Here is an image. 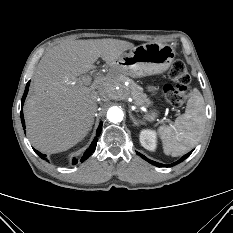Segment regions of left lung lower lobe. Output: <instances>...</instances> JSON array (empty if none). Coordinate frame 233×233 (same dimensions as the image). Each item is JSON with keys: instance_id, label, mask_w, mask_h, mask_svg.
I'll use <instances>...</instances> for the list:
<instances>
[{"instance_id": "left-lung-lower-lobe-1", "label": "left lung lower lobe", "mask_w": 233, "mask_h": 233, "mask_svg": "<svg viewBox=\"0 0 233 233\" xmlns=\"http://www.w3.org/2000/svg\"><path fill=\"white\" fill-rule=\"evenodd\" d=\"M191 153H192V151L189 152L188 154L184 155L181 159H179V160H178L177 162H175V163H172V164H170V165H164V164H160V163H157V162H155V161L149 160V159L146 158L144 155H142V154H140L139 152H137V154H138L139 156H141L143 159H145V160L148 161L149 163H151V164H153V165H155V166H158V167H171V166H174V165H176V164H178V163L184 161Z\"/></svg>"}]
</instances>
